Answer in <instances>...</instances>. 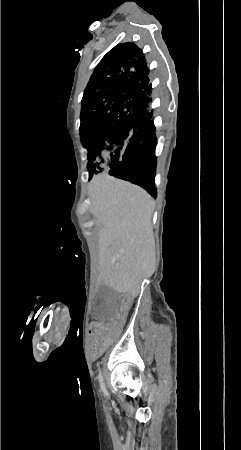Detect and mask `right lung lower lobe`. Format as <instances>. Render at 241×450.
Wrapping results in <instances>:
<instances>
[{
  "label": "right lung lower lobe",
  "mask_w": 241,
  "mask_h": 450,
  "mask_svg": "<svg viewBox=\"0 0 241 450\" xmlns=\"http://www.w3.org/2000/svg\"><path fill=\"white\" fill-rule=\"evenodd\" d=\"M147 89L151 90V84L147 85ZM149 92L146 101L149 102ZM152 113L147 111L145 117L137 120L132 129L144 134L141 143L135 146L131 152L124 155L117 164H115L109 171L110 175L117 178L130 181L147 190L152 196H156V189L154 186V178L156 172V156H155V126L153 123Z\"/></svg>",
  "instance_id": "obj_1"
}]
</instances>
